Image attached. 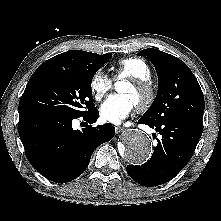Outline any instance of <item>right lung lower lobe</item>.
Wrapping results in <instances>:
<instances>
[{
  "label": "right lung lower lobe",
  "instance_id": "1",
  "mask_svg": "<svg viewBox=\"0 0 221 221\" xmlns=\"http://www.w3.org/2000/svg\"><path fill=\"white\" fill-rule=\"evenodd\" d=\"M97 108L82 116L96 122ZM67 115L45 110H20L19 135L31 165L47 179L65 183L80 176L87 168L93 151L110 141L115 128L106 123L73 130Z\"/></svg>",
  "mask_w": 221,
  "mask_h": 221
}]
</instances>
